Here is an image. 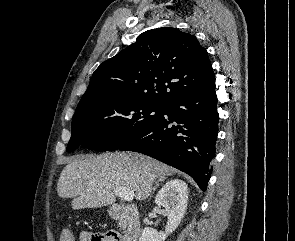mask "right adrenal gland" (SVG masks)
I'll list each match as a JSON object with an SVG mask.
<instances>
[{
  "instance_id": "obj_1",
  "label": "right adrenal gland",
  "mask_w": 295,
  "mask_h": 241,
  "mask_svg": "<svg viewBox=\"0 0 295 241\" xmlns=\"http://www.w3.org/2000/svg\"><path fill=\"white\" fill-rule=\"evenodd\" d=\"M164 180H165V176H160V177L158 178V180L156 181L155 186L152 188L153 191H155L156 188L159 186V183L162 182V181H164Z\"/></svg>"
}]
</instances>
